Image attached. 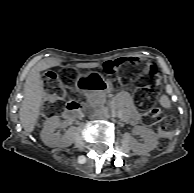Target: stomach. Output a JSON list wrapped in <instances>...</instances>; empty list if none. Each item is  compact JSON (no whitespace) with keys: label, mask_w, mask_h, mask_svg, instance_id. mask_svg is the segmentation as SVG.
Returning a JSON list of instances; mask_svg holds the SVG:
<instances>
[{"label":"stomach","mask_w":194,"mask_h":193,"mask_svg":"<svg viewBox=\"0 0 194 193\" xmlns=\"http://www.w3.org/2000/svg\"><path fill=\"white\" fill-rule=\"evenodd\" d=\"M75 88L83 94H105L112 89V83L97 73L80 74L75 81Z\"/></svg>","instance_id":"stomach-1"}]
</instances>
